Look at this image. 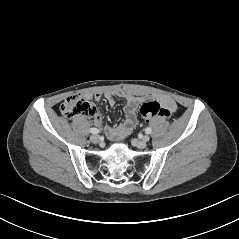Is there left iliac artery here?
Masks as SVG:
<instances>
[{
  "label": "left iliac artery",
  "mask_w": 239,
  "mask_h": 239,
  "mask_svg": "<svg viewBox=\"0 0 239 239\" xmlns=\"http://www.w3.org/2000/svg\"><path fill=\"white\" fill-rule=\"evenodd\" d=\"M145 132H146L147 134H150V133L152 132V130H151L150 127H147V128L145 129Z\"/></svg>",
  "instance_id": "1"
}]
</instances>
